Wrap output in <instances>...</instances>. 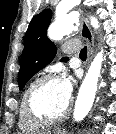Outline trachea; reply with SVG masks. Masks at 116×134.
<instances>
[{"mask_svg":"<svg viewBox=\"0 0 116 134\" xmlns=\"http://www.w3.org/2000/svg\"><path fill=\"white\" fill-rule=\"evenodd\" d=\"M80 57H82V58L87 57V47L86 46L80 51Z\"/></svg>","mask_w":116,"mask_h":134,"instance_id":"trachea-1","label":"trachea"}]
</instances>
